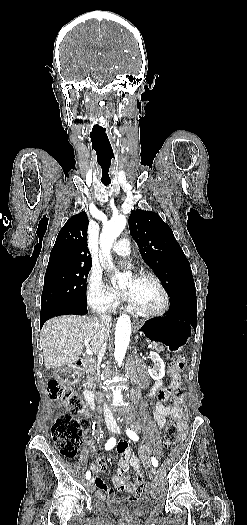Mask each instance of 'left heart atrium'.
Returning a JSON list of instances; mask_svg holds the SVG:
<instances>
[{
	"mask_svg": "<svg viewBox=\"0 0 247 525\" xmlns=\"http://www.w3.org/2000/svg\"><path fill=\"white\" fill-rule=\"evenodd\" d=\"M137 286L135 283L124 289L121 293V297L133 299L136 293Z\"/></svg>",
	"mask_w": 247,
	"mask_h": 525,
	"instance_id": "39dd6f15",
	"label": "left heart atrium"
}]
</instances>
